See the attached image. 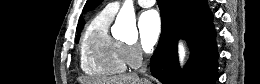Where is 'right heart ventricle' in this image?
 <instances>
[{"instance_id":"e07e8e85","label":"right heart ventricle","mask_w":260,"mask_h":84,"mask_svg":"<svg viewBox=\"0 0 260 84\" xmlns=\"http://www.w3.org/2000/svg\"><path fill=\"white\" fill-rule=\"evenodd\" d=\"M114 15L100 12L87 27L80 48V65L92 78H108L126 68L124 44L109 33Z\"/></svg>"}]
</instances>
